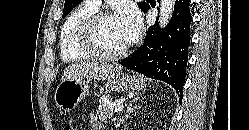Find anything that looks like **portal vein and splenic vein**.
<instances>
[{"label":"portal vein and splenic vein","mask_w":249,"mask_h":130,"mask_svg":"<svg viewBox=\"0 0 249 130\" xmlns=\"http://www.w3.org/2000/svg\"><path fill=\"white\" fill-rule=\"evenodd\" d=\"M124 108V105H117L115 108H114V112H121Z\"/></svg>","instance_id":"obj_1"}]
</instances>
